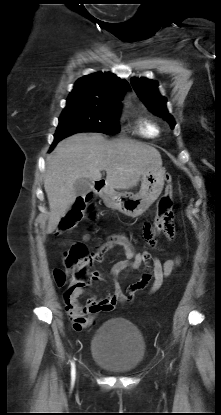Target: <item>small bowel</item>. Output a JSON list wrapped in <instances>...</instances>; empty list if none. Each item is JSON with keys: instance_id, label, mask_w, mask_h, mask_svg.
<instances>
[{"instance_id": "obj_1", "label": "small bowel", "mask_w": 221, "mask_h": 415, "mask_svg": "<svg viewBox=\"0 0 221 415\" xmlns=\"http://www.w3.org/2000/svg\"><path fill=\"white\" fill-rule=\"evenodd\" d=\"M152 226L153 223L150 222L144 224L143 236L150 247L157 249V235L151 236ZM160 232H163L165 237L171 241L175 237L173 220ZM114 248H120L126 259L115 263L110 271L113 280V292L110 296L103 299H98L93 296L87 300L85 305H81L78 298L87 291L84 286L71 284L64 292L66 311L76 330H81L92 325L100 312L113 311L118 303L132 302L135 294L145 289L151 280L152 285L149 292L154 293L158 291L162 287L164 280L180 262L178 258L162 262L149 251L139 250L127 235L121 233L107 237L95 249L92 255L94 259L99 260L104 253ZM142 265H144V270L139 280L130 284L123 291L118 283L119 273L128 268L138 269ZM96 278H99L97 273Z\"/></svg>"}]
</instances>
